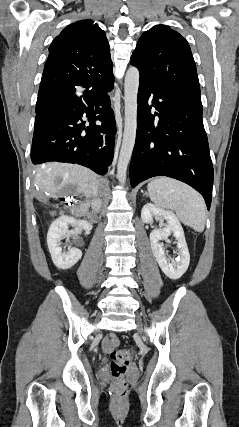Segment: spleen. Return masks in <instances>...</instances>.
Masks as SVG:
<instances>
[{
  "mask_svg": "<svg viewBox=\"0 0 239 427\" xmlns=\"http://www.w3.org/2000/svg\"><path fill=\"white\" fill-rule=\"evenodd\" d=\"M151 201L159 208L174 210L180 221L198 232L205 228V203L190 186L177 180L159 177L147 185Z\"/></svg>",
  "mask_w": 239,
  "mask_h": 427,
  "instance_id": "obj_1",
  "label": "spleen"
}]
</instances>
